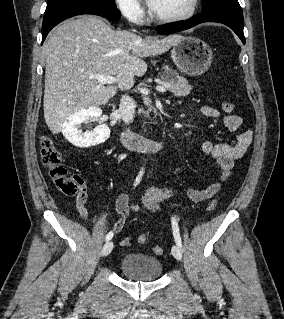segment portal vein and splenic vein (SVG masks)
Instances as JSON below:
<instances>
[{"label": "portal vein and splenic vein", "instance_id": "obj_1", "mask_svg": "<svg viewBox=\"0 0 284 319\" xmlns=\"http://www.w3.org/2000/svg\"><path fill=\"white\" fill-rule=\"evenodd\" d=\"M95 78L99 81L100 84H113L116 82L115 76H106V75H96ZM170 85L157 86L156 90L159 92H165ZM140 93L143 95H148L149 90L146 88H138Z\"/></svg>", "mask_w": 284, "mask_h": 319}]
</instances>
